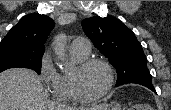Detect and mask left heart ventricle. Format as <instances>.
<instances>
[{"label":"left heart ventricle","instance_id":"left-heart-ventricle-1","mask_svg":"<svg viewBox=\"0 0 171 110\" xmlns=\"http://www.w3.org/2000/svg\"><path fill=\"white\" fill-rule=\"evenodd\" d=\"M75 72L76 69L73 73ZM108 80L109 75L106 68L99 64L90 66L78 75L81 90L89 96L100 94L106 88Z\"/></svg>","mask_w":171,"mask_h":110}]
</instances>
